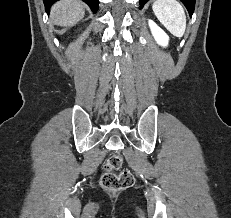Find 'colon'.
Here are the masks:
<instances>
[{"label": "colon", "instance_id": "5ec220e1", "mask_svg": "<svg viewBox=\"0 0 231 218\" xmlns=\"http://www.w3.org/2000/svg\"><path fill=\"white\" fill-rule=\"evenodd\" d=\"M123 164V159L119 154H113L109 156L104 165V172L101 176V186L109 191L116 192L127 189L134 184V176L128 169H123L119 173H115L119 170Z\"/></svg>", "mask_w": 231, "mask_h": 218}]
</instances>
